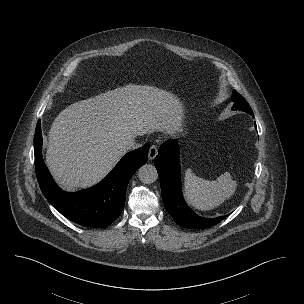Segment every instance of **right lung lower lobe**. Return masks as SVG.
I'll list each match as a JSON object with an SVG mask.
<instances>
[{
    "label": "right lung lower lobe",
    "mask_w": 304,
    "mask_h": 304,
    "mask_svg": "<svg viewBox=\"0 0 304 304\" xmlns=\"http://www.w3.org/2000/svg\"><path fill=\"white\" fill-rule=\"evenodd\" d=\"M40 120L34 136L35 169L40 189L50 204L69 220L84 227H107L122 212L126 189L133 174L147 162L149 144L127 153L97 185L66 193L52 179L41 154Z\"/></svg>",
    "instance_id": "1"
}]
</instances>
